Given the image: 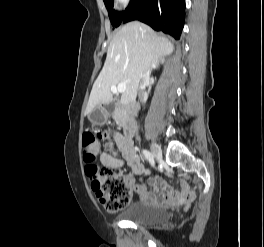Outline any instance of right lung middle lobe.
<instances>
[{
	"instance_id": "1",
	"label": "right lung middle lobe",
	"mask_w": 264,
	"mask_h": 247,
	"mask_svg": "<svg viewBox=\"0 0 264 247\" xmlns=\"http://www.w3.org/2000/svg\"><path fill=\"white\" fill-rule=\"evenodd\" d=\"M103 1H104L105 6H106V8L108 10L109 18H110V21H111L112 25L115 26V27H118L120 25V23L122 22L123 17L125 15L127 9L123 12V14L121 12L116 13L113 10V0H103ZM133 1L134 0L130 1L128 7L132 4Z\"/></svg>"
}]
</instances>
